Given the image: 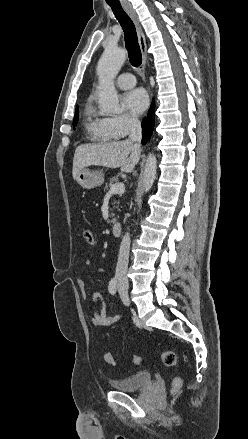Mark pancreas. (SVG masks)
Segmentation results:
<instances>
[{
	"label": "pancreas",
	"instance_id": "obj_1",
	"mask_svg": "<svg viewBox=\"0 0 248 439\" xmlns=\"http://www.w3.org/2000/svg\"><path fill=\"white\" fill-rule=\"evenodd\" d=\"M118 181V177H112V178H110L109 179V183H106L105 184V187H104V189L106 190V189H108V187H111L112 185H113V183L114 182H117ZM117 202H115L114 204H116ZM113 208H117L116 206H114ZM111 217H112V220L110 221V223H115L116 222V218H115V215L112 213L111 214Z\"/></svg>",
	"mask_w": 248,
	"mask_h": 439
}]
</instances>
